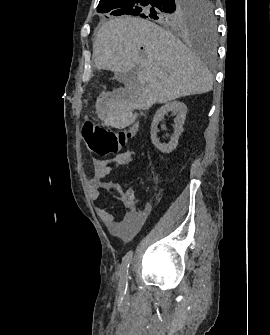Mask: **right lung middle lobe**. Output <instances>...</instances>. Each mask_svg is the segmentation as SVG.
Returning a JSON list of instances; mask_svg holds the SVG:
<instances>
[{
	"label": "right lung middle lobe",
	"mask_w": 270,
	"mask_h": 335,
	"mask_svg": "<svg viewBox=\"0 0 270 335\" xmlns=\"http://www.w3.org/2000/svg\"><path fill=\"white\" fill-rule=\"evenodd\" d=\"M212 0H100L97 12L110 18L134 15L167 28L195 33L211 43L216 34Z\"/></svg>",
	"instance_id": "obj_1"
}]
</instances>
